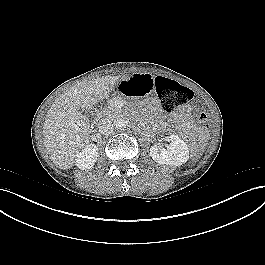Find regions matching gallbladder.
Instances as JSON below:
<instances>
[{"label": "gallbladder", "mask_w": 265, "mask_h": 265, "mask_svg": "<svg viewBox=\"0 0 265 265\" xmlns=\"http://www.w3.org/2000/svg\"><path fill=\"white\" fill-rule=\"evenodd\" d=\"M83 114H85L91 120L95 118V113L91 110H85L83 111Z\"/></svg>", "instance_id": "gallbladder-1"}]
</instances>
